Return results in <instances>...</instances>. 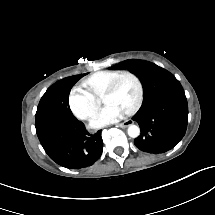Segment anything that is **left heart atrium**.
I'll return each instance as SVG.
<instances>
[{
	"mask_svg": "<svg viewBox=\"0 0 215 215\" xmlns=\"http://www.w3.org/2000/svg\"><path fill=\"white\" fill-rule=\"evenodd\" d=\"M124 112V109L118 103H110L98 113L97 120L101 122L112 121L120 118Z\"/></svg>",
	"mask_w": 215,
	"mask_h": 215,
	"instance_id": "39dd6f15",
	"label": "left heart atrium"
}]
</instances>
